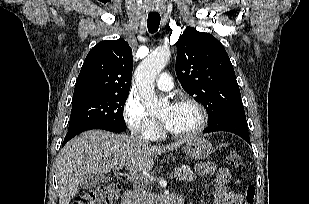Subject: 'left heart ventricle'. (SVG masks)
Returning <instances> with one entry per match:
<instances>
[{
    "label": "left heart ventricle",
    "instance_id": "left-heart-ventricle-1",
    "mask_svg": "<svg viewBox=\"0 0 309 204\" xmlns=\"http://www.w3.org/2000/svg\"><path fill=\"white\" fill-rule=\"evenodd\" d=\"M164 125L175 133H186L194 130L199 122L200 115L191 105H168L160 113Z\"/></svg>",
    "mask_w": 309,
    "mask_h": 204
}]
</instances>
